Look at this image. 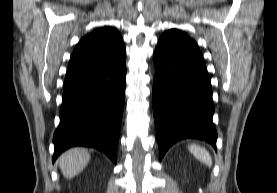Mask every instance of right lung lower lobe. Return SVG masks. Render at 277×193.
Wrapping results in <instances>:
<instances>
[{
  "label": "right lung lower lobe",
  "instance_id": "obj_1",
  "mask_svg": "<svg viewBox=\"0 0 277 193\" xmlns=\"http://www.w3.org/2000/svg\"><path fill=\"white\" fill-rule=\"evenodd\" d=\"M126 51L93 68L68 72L53 162L73 146L93 147L116 164L126 86Z\"/></svg>",
  "mask_w": 277,
  "mask_h": 193
}]
</instances>
